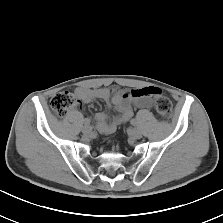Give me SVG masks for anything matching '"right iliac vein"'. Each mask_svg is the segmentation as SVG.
<instances>
[{
    "instance_id": "obj_1",
    "label": "right iliac vein",
    "mask_w": 223,
    "mask_h": 223,
    "mask_svg": "<svg viewBox=\"0 0 223 223\" xmlns=\"http://www.w3.org/2000/svg\"><path fill=\"white\" fill-rule=\"evenodd\" d=\"M82 132L86 135L90 134L92 132V128L91 126L89 125H85L83 128H82Z\"/></svg>"
}]
</instances>
